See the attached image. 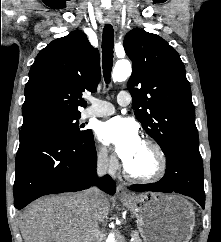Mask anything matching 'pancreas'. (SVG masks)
<instances>
[{
	"label": "pancreas",
	"mask_w": 221,
	"mask_h": 242,
	"mask_svg": "<svg viewBox=\"0 0 221 242\" xmlns=\"http://www.w3.org/2000/svg\"><path fill=\"white\" fill-rule=\"evenodd\" d=\"M131 236L133 237V242H142V240L137 232H132Z\"/></svg>",
	"instance_id": "pancreas-1"
}]
</instances>
